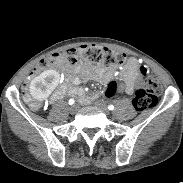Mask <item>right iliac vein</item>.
<instances>
[{
	"label": "right iliac vein",
	"mask_w": 183,
	"mask_h": 183,
	"mask_svg": "<svg viewBox=\"0 0 183 183\" xmlns=\"http://www.w3.org/2000/svg\"><path fill=\"white\" fill-rule=\"evenodd\" d=\"M77 109H78V106H77V105H73V106L70 107V111H71L72 113L76 112Z\"/></svg>",
	"instance_id": "63e3f726"
}]
</instances>
